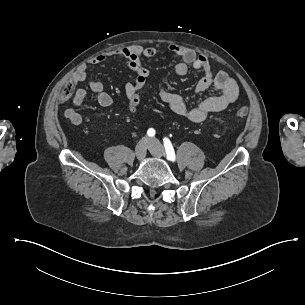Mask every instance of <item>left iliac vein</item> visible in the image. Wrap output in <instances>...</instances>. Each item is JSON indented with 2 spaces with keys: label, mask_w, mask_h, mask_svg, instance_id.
I'll return each instance as SVG.
<instances>
[{
  "label": "left iliac vein",
  "mask_w": 305,
  "mask_h": 305,
  "mask_svg": "<svg viewBox=\"0 0 305 305\" xmlns=\"http://www.w3.org/2000/svg\"><path fill=\"white\" fill-rule=\"evenodd\" d=\"M148 148L154 157L160 158L164 155V148L156 138H151L149 140Z\"/></svg>",
  "instance_id": "4c4485c4"
}]
</instances>
